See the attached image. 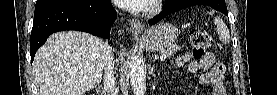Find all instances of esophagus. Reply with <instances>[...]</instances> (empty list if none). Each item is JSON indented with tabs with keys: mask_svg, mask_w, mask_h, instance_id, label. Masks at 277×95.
Here are the masks:
<instances>
[{
	"mask_svg": "<svg viewBox=\"0 0 277 95\" xmlns=\"http://www.w3.org/2000/svg\"><path fill=\"white\" fill-rule=\"evenodd\" d=\"M143 24L136 20V19H133L132 22H131V32H132V35L135 37V38H141V35L143 33Z\"/></svg>",
	"mask_w": 277,
	"mask_h": 95,
	"instance_id": "34e87169",
	"label": "esophagus"
}]
</instances>
